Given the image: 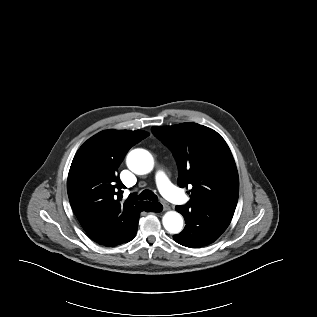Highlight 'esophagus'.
<instances>
[{
  "mask_svg": "<svg viewBox=\"0 0 317 317\" xmlns=\"http://www.w3.org/2000/svg\"><path fill=\"white\" fill-rule=\"evenodd\" d=\"M163 210H164V211L170 210L169 205L166 204V203H163Z\"/></svg>",
  "mask_w": 317,
  "mask_h": 317,
  "instance_id": "34e87169",
  "label": "esophagus"
}]
</instances>
